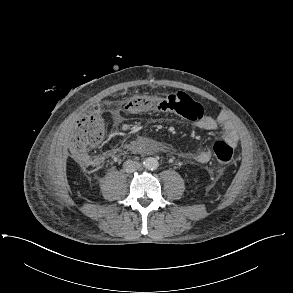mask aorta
I'll return each instance as SVG.
<instances>
[{
	"instance_id": "1",
	"label": "aorta",
	"mask_w": 293,
	"mask_h": 293,
	"mask_svg": "<svg viewBox=\"0 0 293 293\" xmlns=\"http://www.w3.org/2000/svg\"><path fill=\"white\" fill-rule=\"evenodd\" d=\"M143 165L146 169L153 170L158 167V160L153 157H148L144 160Z\"/></svg>"
}]
</instances>
